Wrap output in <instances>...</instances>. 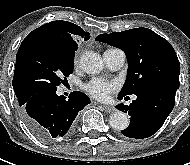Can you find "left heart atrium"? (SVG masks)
Wrapping results in <instances>:
<instances>
[{"mask_svg":"<svg viewBox=\"0 0 190 165\" xmlns=\"http://www.w3.org/2000/svg\"><path fill=\"white\" fill-rule=\"evenodd\" d=\"M85 91L92 97L106 101L110 95L118 89V84L113 80L93 78L84 85Z\"/></svg>","mask_w":190,"mask_h":165,"instance_id":"39dd6f15","label":"left heart atrium"}]
</instances>
